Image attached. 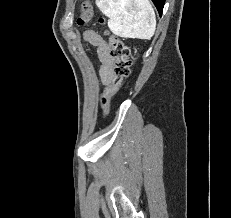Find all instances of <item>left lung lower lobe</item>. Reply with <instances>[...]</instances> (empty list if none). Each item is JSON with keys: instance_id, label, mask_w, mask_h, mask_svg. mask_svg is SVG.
<instances>
[{"instance_id": "1", "label": "left lung lower lobe", "mask_w": 231, "mask_h": 218, "mask_svg": "<svg viewBox=\"0 0 231 218\" xmlns=\"http://www.w3.org/2000/svg\"><path fill=\"white\" fill-rule=\"evenodd\" d=\"M152 1L155 4V6L157 7L159 14L161 15L162 11H163L165 0H152Z\"/></svg>"}]
</instances>
